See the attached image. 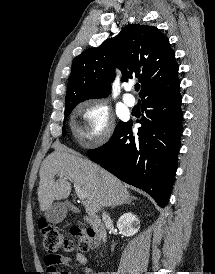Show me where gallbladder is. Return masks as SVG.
<instances>
[{
	"mask_svg": "<svg viewBox=\"0 0 215 274\" xmlns=\"http://www.w3.org/2000/svg\"><path fill=\"white\" fill-rule=\"evenodd\" d=\"M69 209H71L74 212L78 211V209L71 202L58 201L52 204L45 211V217L49 222L56 224L65 219Z\"/></svg>",
	"mask_w": 215,
	"mask_h": 274,
	"instance_id": "bac80fb5",
	"label": "gallbladder"
}]
</instances>
